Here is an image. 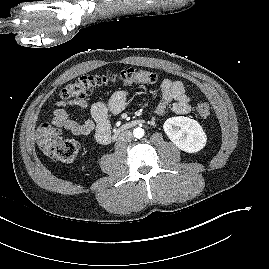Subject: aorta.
<instances>
[{"instance_id": "1", "label": "aorta", "mask_w": 269, "mask_h": 269, "mask_svg": "<svg viewBox=\"0 0 269 269\" xmlns=\"http://www.w3.org/2000/svg\"><path fill=\"white\" fill-rule=\"evenodd\" d=\"M144 129L141 127H137L133 130V135L135 138H142L144 136Z\"/></svg>"}]
</instances>
